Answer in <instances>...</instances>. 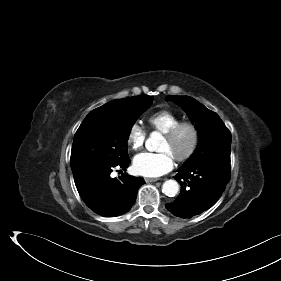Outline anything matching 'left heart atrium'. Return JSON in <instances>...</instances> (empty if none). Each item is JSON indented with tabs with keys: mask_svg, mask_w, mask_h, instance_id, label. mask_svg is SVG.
Masks as SVG:
<instances>
[{
	"mask_svg": "<svg viewBox=\"0 0 281 281\" xmlns=\"http://www.w3.org/2000/svg\"><path fill=\"white\" fill-rule=\"evenodd\" d=\"M174 166V157L168 151L159 153L143 152L133 160L134 171L145 177H159L169 172Z\"/></svg>",
	"mask_w": 281,
	"mask_h": 281,
	"instance_id": "left-heart-atrium-1",
	"label": "left heart atrium"
}]
</instances>
